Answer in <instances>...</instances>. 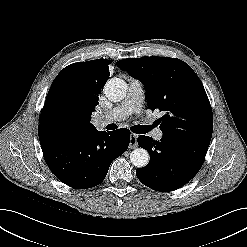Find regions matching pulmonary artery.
<instances>
[{"instance_id": "e3ab8cb5", "label": "pulmonary artery", "mask_w": 247, "mask_h": 247, "mask_svg": "<svg viewBox=\"0 0 247 247\" xmlns=\"http://www.w3.org/2000/svg\"><path fill=\"white\" fill-rule=\"evenodd\" d=\"M145 98L143 84L139 80H132L129 84L128 93L125 99L111 110L99 116L98 125H106L126 119L131 114H139ZM152 136L156 140H161L163 132L154 129Z\"/></svg>"}]
</instances>
